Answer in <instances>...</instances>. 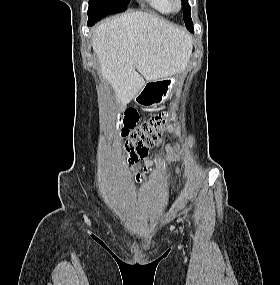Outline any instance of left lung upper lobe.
Segmentation results:
<instances>
[{
	"label": "left lung upper lobe",
	"instance_id": "left-lung-upper-lobe-1",
	"mask_svg": "<svg viewBox=\"0 0 280 285\" xmlns=\"http://www.w3.org/2000/svg\"><path fill=\"white\" fill-rule=\"evenodd\" d=\"M182 8H183L185 26L187 27L188 30H191L193 29V23L190 16V6L188 4V0H182Z\"/></svg>",
	"mask_w": 280,
	"mask_h": 285
}]
</instances>
